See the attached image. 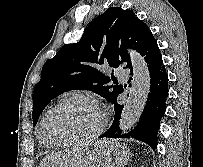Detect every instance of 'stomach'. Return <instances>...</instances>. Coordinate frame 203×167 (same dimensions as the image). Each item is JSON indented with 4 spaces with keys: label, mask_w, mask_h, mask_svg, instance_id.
I'll return each instance as SVG.
<instances>
[{
    "label": "stomach",
    "mask_w": 203,
    "mask_h": 167,
    "mask_svg": "<svg viewBox=\"0 0 203 167\" xmlns=\"http://www.w3.org/2000/svg\"><path fill=\"white\" fill-rule=\"evenodd\" d=\"M129 153L121 147H113V143L100 142L88 152L78 167H122L119 160H127Z\"/></svg>",
    "instance_id": "0dacf381"
}]
</instances>
